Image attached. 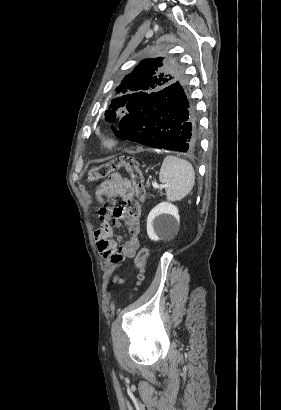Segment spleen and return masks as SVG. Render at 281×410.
Returning a JSON list of instances; mask_svg holds the SVG:
<instances>
[{"instance_id":"spleen-1","label":"spleen","mask_w":281,"mask_h":410,"mask_svg":"<svg viewBox=\"0 0 281 410\" xmlns=\"http://www.w3.org/2000/svg\"><path fill=\"white\" fill-rule=\"evenodd\" d=\"M159 180L163 184L169 201H178L187 196L194 186L195 173L192 165L175 156L163 160Z\"/></svg>"}]
</instances>
